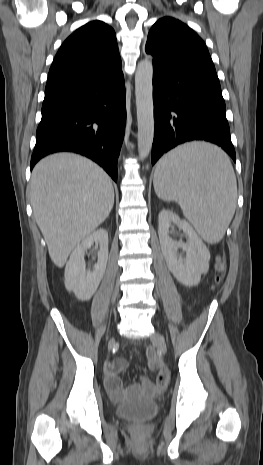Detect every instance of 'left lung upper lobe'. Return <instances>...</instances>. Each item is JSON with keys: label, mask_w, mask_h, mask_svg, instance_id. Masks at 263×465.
I'll return each instance as SVG.
<instances>
[{"label": "left lung upper lobe", "mask_w": 263, "mask_h": 465, "mask_svg": "<svg viewBox=\"0 0 263 465\" xmlns=\"http://www.w3.org/2000/svg\"><path fill=\"white\" fill-rule=\"evenodd\" d=\"M145 51L171 65L215 71L203 40L186 24L172 17L161 18L152 26Z\"/></svg>", "instance_id": "1"}]
</instances>
